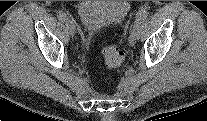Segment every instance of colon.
Listing matches in <instances>:
<instances>
[{"mask_svg": "<svg viewBox=\"0 0 207 121\" xmlns=\"http://www.w3.org/2000/svg\"><path fill=\"white\" fill-rule=\"evenodd\" d=\"M103 56L108 68H119L124 61V52L117 45H109L104 48Z\"/></svg>", "mask_w": 207, "mask_h": 121, "instance_id": "colon-1", "label": "colon"}]
</instances>
